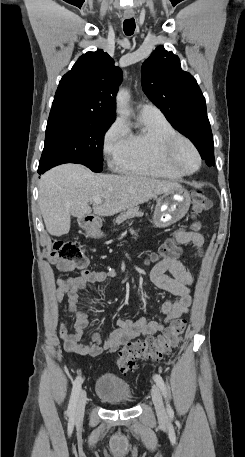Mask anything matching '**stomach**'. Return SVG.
<instances>
[{
    "label": "stomach",
    "mask_w": 245,
    "mask_h": 457,
    "mask_svg": "<svg viewBox=\"0 0 245 457\" xmlns=\"http://www.w3.org/2000/svg\"><path fill=\"white\" fill-rule=\"evenodd\" d=\"M191 198L186 188H170L167 192H162V196L157 198L156 208L153 214V222L155 226H170L180 218L185 216ZM80 226H83L89 237L97 239L103 237L101 233V224L98 220H88L87 216H80L78 220Z\"/></svg>",
    "instance_id": "1"
}]
</instances>
